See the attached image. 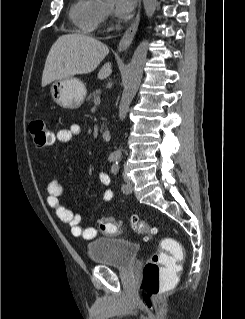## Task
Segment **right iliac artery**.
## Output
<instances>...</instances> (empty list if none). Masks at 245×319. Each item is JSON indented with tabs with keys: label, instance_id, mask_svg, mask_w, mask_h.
I'll list each match as a JSON object with an SVG mask.
<instances>
[{
	"label": "right iliac artery",
	"instance_id": "obj_1",
	"mask_svg": "<svg viewBox=\"0 0 245 319\" xmlns=\"http://www.w3.org/2000/svg\"><path fill=\"white\" fill-rule=\"evenodd\" d=\"M116 160H117V158L114 157V156L109 157V161H110V162H114V161H116Z\"/></svg>",
	"mask_w": 245,
	"mask_h": 319
}]
</instances>
